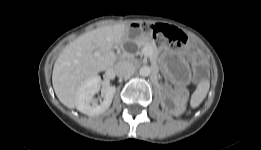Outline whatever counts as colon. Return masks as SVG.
<instances>
[{
	"label": "colon",
	"mask_w": 261,
	"mask_h": 150,
	"mask_svg": "<svg viewBox=\"0 0 261 150\" xmlns=\"http://www.w3.org/2000/svg\"><path fill=\"white\" fill-rule=\"evenodd\" d=\"M142 29L144 32L152 34L159 43L172 49L181 48L187 41L185 34L172 26L145 24Z\"/></svg>",
	"instance_id": "colon-1"
}]
</instances>
